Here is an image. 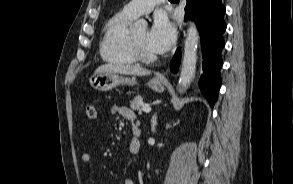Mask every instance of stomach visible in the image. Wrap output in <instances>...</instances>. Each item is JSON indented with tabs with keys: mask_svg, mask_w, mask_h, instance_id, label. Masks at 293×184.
<instances>
[{
	"mask_svg": "<svg viewBox=\"0 0 293 184\" xmlns=\"http://www.w3.org/2000/svg\"><path fill=\"white\" fill-rule=\"evenodd\" d=\"M91 87L97 91H109L119 85L133 86L137 84L135 77H123L113 72H95L90 78ZM148 86L156 92L164 91V82L159 78H153L148 82Z\"/></svg>",
	"mask_w": 293,
	"mask_h": 184,
	"instance_id": "0dacf381",
	"label": "stomach"
}]
</instances>
